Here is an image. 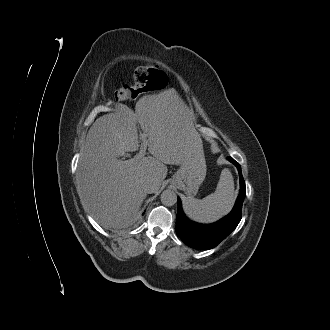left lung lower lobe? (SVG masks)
I'll list each match as a JSON object with an SVG mask.
<instances>
[{
	"label": "left lung lower lobe",
	"instance_id": "obj_1",
	"mask_svg": "<svg viewBox=\"0 0 330 330\" xmlns=\"http://www.w3.org/2000/svg\"><path fill=\"white\" fill-rule=\"evenodd\" d=\"M227 159L237 167L240 177V193L232 211L227 216L212 224L193 222L185 216L178 198L176 233L189 247L199 250L214 248L237 227L241 220L242 204L246 195L245 182L239 163L231 157Z\"/></svg>",
	"mask_w": 330,
	"mask_h": 330
}]
</instances>
